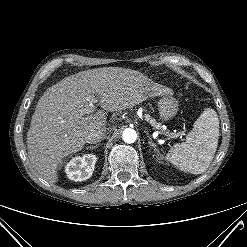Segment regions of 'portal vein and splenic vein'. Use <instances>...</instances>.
I'll return each mask as SVG.
<instances>
[{"label": "portal vein and splenic vein", "instance_id": "18ae733b", "mask_svg": "<svg viewBox=\"0 0 247 247\" xmlns=\"http://www.w3.org/2000/svg\"><path fill=\"white\" fill-rule=\"evenodd\" d=\"M93 104H94V103H93L92 101L89 103V107H88V109H87L88 112H91V111H92V109H93V107H94ZM174 137H175V136H174Z\"/></svg>", "mask_w": 247, "mask_h": 247}]
</instances>
